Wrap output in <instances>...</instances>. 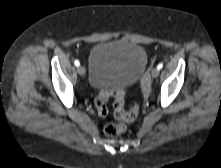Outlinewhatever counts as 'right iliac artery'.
Masks as SVG:
<instances>
[{"label": "right iliac artery", "mask_w": 221, "mask_h": 168, "mask_svg": "<svg viewBox=\"0 0 221 168\" xmlns=\"http://www.w3.org/2000/svg\"><path fill=\"white\" fill-rule=\"evenodd\" d=\"M74 64H75V66L78 67V66L80 65V62H79L78 60H75V61H74Z\"/></svg>", "instance_id": "obj_1"}]
</instances>
